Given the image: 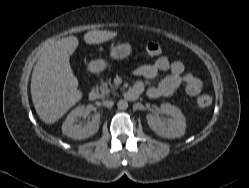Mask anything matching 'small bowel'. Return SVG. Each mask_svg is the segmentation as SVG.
<instances>
[{
    "instance_id": "small-bowel-1",
    "label": "small bowel",
    "mask_w": 249,
    "mask_h": 188,
    "mask_svg": "<svg viewBox=\"0 0 249 188\" xmlns=\"http://www.w3.org/2000/svg\"><path fill=\"white\" fill-rule=\"evenodd\" d=\"M161 72H168V76L158 84L151 82ZM134 75L141 78L134 88L147 97L156 100L171 95L179 87H184L189 96H196L202 88L201 81L193 74L186 72L180 61H170L166 56L159 57L154 64L143 65L133 69Z\"/></svg>"
}]
</instances>
